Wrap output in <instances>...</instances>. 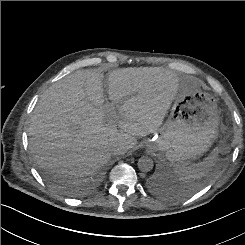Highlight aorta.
<instances>
[{
  "mask_svg": "<svg viewBox=\"0 0 245 245\" xmlns=\"http://www.w3.org/2000/svg\"><path fill=\"white\" fill-rule=\"evenodd\" d=\"M137 165H138V169L141 172L146 173L153 169L154 163L152 158L148 156H142L141 158H139Z\"/></svg>",
  "mask_w": 245,
  "mask_h": 245,
  "instance_id": "1",
  "label": "aorta"
}]
</instances>
